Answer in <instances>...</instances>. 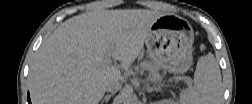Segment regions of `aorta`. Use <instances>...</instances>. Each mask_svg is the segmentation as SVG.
I'll return each instance as SVG.
<instances>
[{
  "label": "aorta",
  "mask_w": 252,
  "mask_h": 104,
  "mask_svg": "<svg viewBox=\"0 0 252 104\" xmlns=\"http://www.w3.org/2000/svg\"><path fill=\"white\" fill-rule=\"evenodd\" d=\"M134 98L130 94H125L124 95V103L130 104L133 103Z\"/></svg>",
  "instance_id": "1"
}]
</instances>
